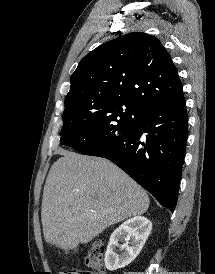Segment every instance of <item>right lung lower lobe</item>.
Returning <instances> with one entry per match:
<instances>
[{"instance_id": "1", "label": "right lung lower lobe", "mask_w": 215, "mask_h": 274, "mask_svg": "<svg viewBox=\"0 0 215 274\" xmlns=\"http://www.w3.org/2000/svg\"><path fill=\"white\" fill-rule=\"evenodd\" d=\"M187 138L188 115L182 98L143 109L126 133L84 154L109 159L173 212Z\"/></svg>"}]
</instances>
